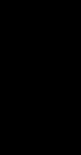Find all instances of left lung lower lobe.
Segmentation results:
<instances>
[{
  "mask_svg": "<svg viewBox=\"0 0 81 155\" xmlns=\"http://www.w3.org/2000/svg\"><path fill=\"white\" fill-rule=\"evenodd\" d=\"M55 118L66 126L74 128L79 124L80 114L70 108H63L56 112Z\"/></svg>",
  "mask_w": 81,
  "mask_h": 155,
  "instance_id": "left-lung-lower-lobe-1",
  "label": "left lung lower lobe"
}]
</instances>
